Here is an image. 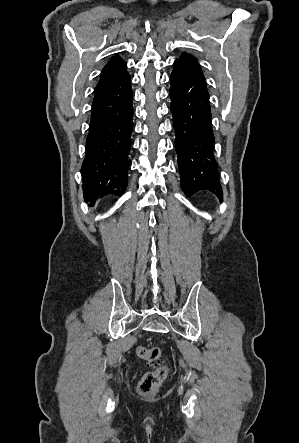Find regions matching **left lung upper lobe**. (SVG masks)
I'll return each instance as SVG.
<instances>
[{"label": "left lung upper lobe", "instance_id": "5c2ea615", "mask_svg": "<svg viewBox=\"0 0 299 443\" xmlns=\"http://www.w3.org/2000/svg\"><path fill=\"white\" fill-rule=\"evenodd\" d=\"M177 60H181L185 63H187L189 66H191L193 69H195L197 72H199L200 74H202V71L200 69V66L196 60V58L188 55V54H182L180 56V59ZM203 75V74H202Z\"/></svg>", "mask_w": 299, "mask_h": 443}]
</instances>
